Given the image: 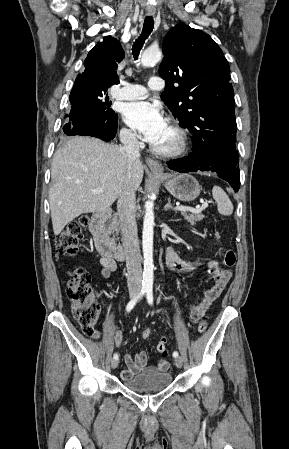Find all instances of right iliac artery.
Returning a JSON list of instances; mask_svg holds the SVG:
<instances>
[{
	"mask_svg": "<svg viewBox=\"0 0 289 449\" xmlns=\"http://www.w3.org/2000/svg\"><path fill=\"white\" fill-rule=\"evenodd\" d=\"M146 291H147V289H142L140 292H139V294L135 297V298H133L128 304H127V306H126V311L127 312H130L133 308H134V306L136 305V303H137V301L146 293ZM113 358L114 359H118L119 358V356H118V354L117 353H115L114 355H113Z\"/></svg>",
	"mask_w": 289,
	"mask_h": 449,
	"instance_id": "obj_1",
	"label": "right iliac artery"
}]
</instances>
